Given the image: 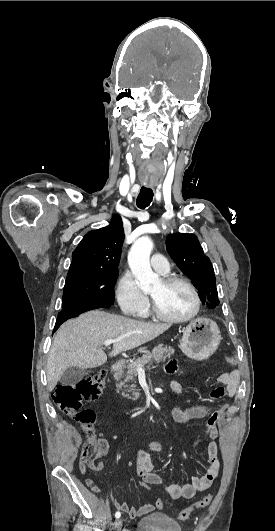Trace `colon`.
Listing matches in <instances>:
<instances>
[{"label":"colon","instance_id":"colon-1","mask_svg":"<svg viewBox=\"0 0 275 531\" xmlns=\"http://www.w3.org/2000/svg\"><path fill=\"white\" fill-rule=\"evenodd\" d=\"M226 360L229 365L237 363L234 351L229 350L226 353ZM106 382V376L103 371H99L92 376L84 377L76 381L59 385L53 393V402L60 411L71 416L81 427L85 434L86 440L81 453L80 468L86 471L88 468H100L103 466L102 456L107 451V444L104 440L95 438L96 414L93 410L82 408L84 402L95 400ZM90 488L94 487L92 479H87ZM143 485L145 491L150 489L148 484ZM212 501V495L208 494L197 500L191 510H201L207 508ZM157 508H163L164 503L161 500L156 502ZM190 509L183 510L179 513L178 521L187 523L189 521Z\"/></svg>","mask_w":275,"mask_h":531}]
</instances>
